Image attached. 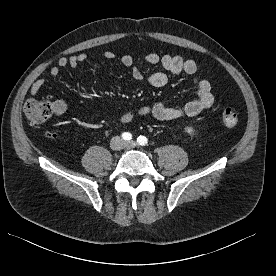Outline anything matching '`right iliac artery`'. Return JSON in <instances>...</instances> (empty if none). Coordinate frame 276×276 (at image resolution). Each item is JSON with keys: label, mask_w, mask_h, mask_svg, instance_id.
I'll return each mask as SVG.
<instances>
[{"label": "right iliac artery", "mask_w": 276, "mask_h": 276, "mask_svg": "<svg viewBox=\"0 0 276 276\" xmlns=\"http://www.w3.org/2000/svg\"><path fill=\"white\" fill-rule=\"evenodd\" d=\"M122 139L125 140V141H130V140L132 139L131 133H129V132H124V133L122 134Z\"/></svg>", "instance_id": "obj_1"}]
</instances>
